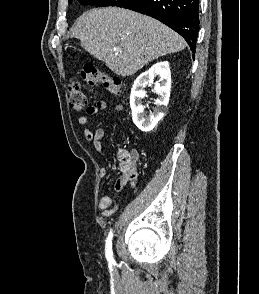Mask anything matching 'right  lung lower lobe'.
Here are the masks:
<instances>
[{"instance_id":"1","label":"right lung lower lobe","mask_w":259,"mask_h":294,"mask_svg":"<svg viewBox=\"0 0 259 294\" xmlns=\"http://www.w3.org/2000/svg\"><path fill=\"white\" fill-rule=\"evenodd\" d=\"M149 15L179 33L195 53L199 30V0H130L122 6Z\"/></svg>"}]
</instances>
